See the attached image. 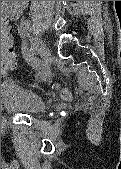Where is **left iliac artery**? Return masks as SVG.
<instances>
[{
  "label": "left iliac artery",
  "mask_w": 121,
  "mask_h": 169,
  "mask_svg": "<svg viewBox=\"0 0 121 169\" xmlns=\"http://www.w3.org/2000/svg\"><path fill=\"white\" fill-rule=\"evenodd\" d=\"M30 32V23H24L22 26H20L18 39H23V35H27ZM20 47L27 64H30L31 68H36L35 74H40V72H43L44 63L41 61V59L38 58V56H36V50L33 49V46H26V42H20Z\"/></svg>",
  "instance_id": "1"
}]
</instances>
